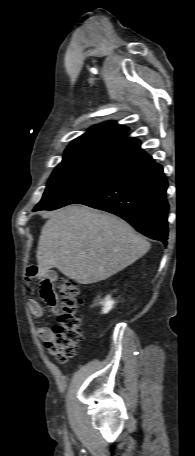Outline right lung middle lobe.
Segmentation results:
<instances>
[{
    "mask_svg": "<svg viewBox=\"0 0 195 456\" xmlns=\"http://www.w3.org/2000/svg\"><path fill=\"white\" fill-rule=\"evenodd\" d=\"M122 170L93 162L60 163L35 210H54L76 203L106 185Z\"/></svg>",
    "mask_w": 195,
    "mask_h": 456,
    "instance_id": "dd1d6c3e",
    "label": "right lung middle lobe"
}]
</instances>
